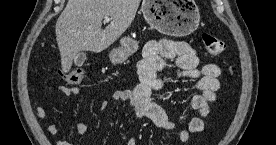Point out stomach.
Listing matches in <instances>:
<instances>
[{
    "label": "stomach",
    "instance_id": "0dacf381",
    "mask_svg": "<svg viewBox=\"0 0 276 145\" xmlns=\"http://www.w3.org/2000/svg\"><path fill=\"white\" fill-rule=\"evenodd\" d=\"M146 21L162 34L182 37L194 32L200 13L194 0H144L141 7ZM138 49V41L130 36L120 40V46L110 54L112 63H122Z\"/></svg>",
    "mask_w": 276,
    "mask_h": 145
}]
</instances>
